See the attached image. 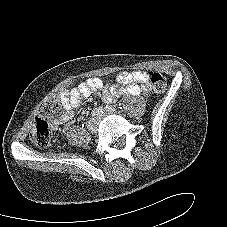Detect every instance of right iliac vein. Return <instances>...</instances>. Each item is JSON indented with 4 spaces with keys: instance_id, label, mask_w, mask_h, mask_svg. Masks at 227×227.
I'll list each match as a JSON object with an SVG mask.
<instances>
[{
    "instance_id": "1",
    "label": "right iliac vein",
    "mask_w": 227,
    "mask_h": 227,
    "mask_svg": "<svg viewBox=\"0 0 227 227\" xmlns=\"http://www.w3.org/2000/svg\"><path fill=\"white\" fill-rule=\"evenodd\" d=\"M97 127H98V123L95 119H90L87 123V129L91 132V133H96L97 131Z\"/></svg>"
}]
</instances>
